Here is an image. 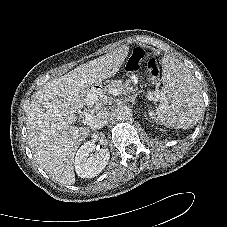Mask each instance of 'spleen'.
Listing matches in <instances>:
<instances>
[{
  "instance_id": "3e777b00",
  "label": "spleen",
  "mask_w": 227,
  "mask_h": 227,
  "mask_svg": "<svg viewBox=\"0 0 227 227\" xmlns=\"http://www.w3.org/2000/svg\"><path fill=\"white\" fill-rule=\"evenodd\" d=\"M164 91L156 108L157 120L166 126L188 129L203 115V99L189 70L172 57L163 59Z\"/></svg>"
}]
</instances>
